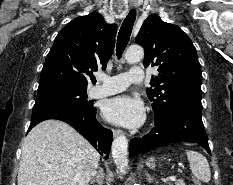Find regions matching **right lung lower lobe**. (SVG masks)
Listing matches in <instances>:
<instances>
[{
    "instance_id": "98d812e1",
    "label": "right lung lower lobe",
    "mask_w": 233,
    "mask_h": 185,
    "mask_svg": "<svg viewBox=\"0 0 233 185\" xmlns=\"http://www.w3.org/2000/svg\"><path fill=\"white\" fill-rule=\"evenodd\" d=\"M95 111L96 108L86 110L58 103L35 104L28 132L35 125L44 120H61L70 124L75 130L83 135L101 155L109 154L112 143V132L108 129H104L99 124L96 120Z\"/></svg>"
}]
</instances>
